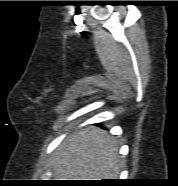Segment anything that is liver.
I'll return each instance as SVG.
<instances>
[{"label": "liver", "mask_w": 178, "mask_h": 186, "mask_svg": "<svg viewBox=\"0 0 178 186\" xmlns=\"http://www.w3.org/2000/svg\"><path fill=\"white\" fill-rule=\"evenodd\" d=\"M120 169L115 140L96 127L80 130L65 139L53 163L56 180L115 179Z\"/></svg>", "instance_id": "liver-1"}]
</instances>
